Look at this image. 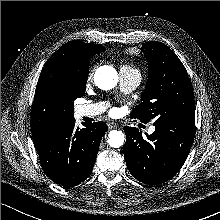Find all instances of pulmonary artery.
Segmentation results:
<instances>
[{
  "label": "pulmonary artery",
  "instance_id": "e3ab8cb5",
  "mask_svg": "<svg viewBox=\"0 0 220 220\" xmlns=\"http://www.w3.org/2000/svg\"><path fill=\"white\" fill-rule=\"evenodd\" d=\"M141 75L138 71L121 68L120 69V87L124 93L132 92L140 83ZM106 105L104 103L88 104L79 107L78 112L80 116L93 117L104 112ZM154 127L149 128V132L154 131Z\"/></svg>",
  "mask_w": 220,
  "mask_h": 220
}]
</instances>
